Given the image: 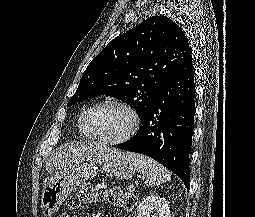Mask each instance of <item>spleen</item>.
<instances>
[{"mask_svg":"<svg viewBox=\"0 0 255 217\" xmlns=\"http://www.w3.org/2000/svg\"><path fill=\"white\" fill-rule=\"evenodd\" d=\"M138 173L145 178L147 186L160 185L171 179L170 172L155 160L141 154L127 153Z\"/></svg>","mask_w":255,"mask_h":217,"instance_id":"spleen-1","label":"spleen"}]
</instances>
